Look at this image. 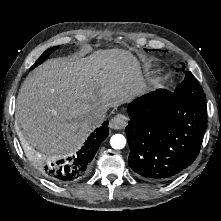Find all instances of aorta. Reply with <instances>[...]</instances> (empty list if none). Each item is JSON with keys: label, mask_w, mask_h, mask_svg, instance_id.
Segmentation results:
<instances>
[{"label": "aorta", "mask_w": 221, "mask_h": 221, "mask_svg": "<svg viewBox=\"0 0 221 221\" xmlns=\"http://www.w3.org/2000/svg\"><path fill=\"white\" fill-rule=\"evenodd\" d=\"M110 145L113 149H123L126 145V139L121 134H115L110 139Z\"/></svg>", "instance_id": "obj_1"}]
</instances>
